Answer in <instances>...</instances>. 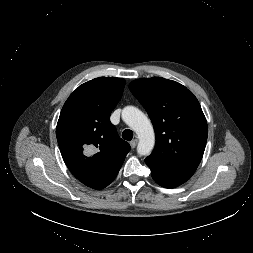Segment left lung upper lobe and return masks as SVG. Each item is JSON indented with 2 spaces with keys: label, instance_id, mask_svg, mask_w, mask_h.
<instances>
[{
  "label": "left lung upper lobe",
  "instance_id": "5c2ea615",
  "mask_svg": "<svg viewBox=\"0 0 253 253\" xmlns=\"http://www.w3.org/2000/svg\"><path fill=\"white\" fill-rule=\"evenodd\" d=\"M129 89L148 112L156 134L155 148L145 161L190 178L208 136L197 98L180 83L161 77L134 80Z\"/></svg>",
  "mask_w": 253,
  "mask_h": 253
}]
</instances>
